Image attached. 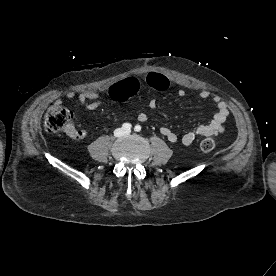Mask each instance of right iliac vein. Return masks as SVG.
I'll return each mask as SVG.
<instances>
[{"instance_id": "63e3f726", "label": "right iliac vein", "mask_w": 276, "mask_h": 276, "mask_svg": "<svg viewBox=\"0 0 276 276\" xmlns=\"http://www.w3.org/2000/svg\"><path fill=\"white\" fill-rule=\"evenodd\" d=\"M114 134L116 137H121L124 134V131L122 129H117Z\"/></svg>"}]
</instances>
